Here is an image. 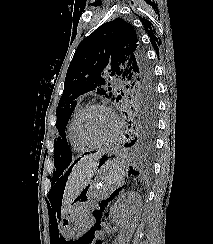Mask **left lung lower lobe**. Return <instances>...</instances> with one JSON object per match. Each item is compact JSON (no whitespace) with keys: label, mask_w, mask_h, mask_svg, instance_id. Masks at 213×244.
<instances>
[{"label":"left lung lower lobe","mask_w":213,"mask_h":244,"mask_svg":"<svg viewBox=\"0 0 213 244\" xmlns=\"http://www.w3.org/2000/svg\"><path fill=\"white\" fill-rule=\"evenodd\" d=\"M125 114L130 121L124 146L137 156H150L155 149L156 117L135 115L129 111Z\"/></svg>","instance_id":"left-lung-lower-lobe-1"}]
</instances>
